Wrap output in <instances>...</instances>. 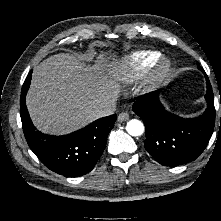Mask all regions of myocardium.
I'll use <instances>...</instances> for the list:
<instances>
[{"mask_svg":"<svg viewBox=\"0 0 221 221\" xmlns=\"http://www.w3.org/2000/svg\"><path fill=\"white\" fill-rule=\"evenodd\" d=\"M171 71L172 61L167 57H160L154 64L148 80V86L154 88L161 85L169 77Z\"/></svg>","mask_w":221,"mask_h":221,"instance_id":"f54148a6","label":"myocardium"}]
</instances>
